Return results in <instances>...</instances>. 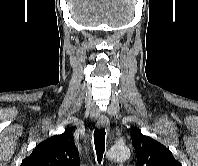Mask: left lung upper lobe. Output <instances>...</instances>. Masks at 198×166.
I'll use <instances>...</instances> for the list:
<instances>
[{
  "instance_id": "5c2ea615",
  "label": "left lung upper lobe",
  "mask_w": 198,
  "mask_h": 166,
  "mask_svg": "<svg viewBox=\"0 0 198 166\" xmlns=\"http://www.w3.org/2000/svg\"><path fill=\"white\" fill-rule=\"evenodd\" d=\"M131 139L137 156V166H181L168 148L143 135L138 128L131 130Z\"/></svg>"
}]
</instances>
